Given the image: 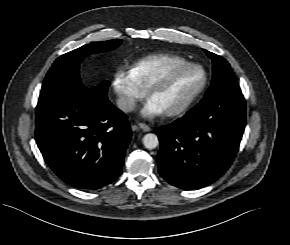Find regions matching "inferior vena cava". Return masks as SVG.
I'll use <instances>...</instances> for the list:
<instances>
[{
    "label": "inferior vena cava",
    "instance_id": "1",
    "mask_svg": "<svg viewBox=\"0 0 290 245\" xmlns=\"http://www.w3.org/2000/svg\"><path fill=\"white\" fill-rule=\"evenodd\" d=\"M117 107L123 112H131L134 110L135 103L129 97L121 96L117 99Z\"/></svg>",
    "mask_w": 290,
    "mask_h": 245
}]
</instances>
